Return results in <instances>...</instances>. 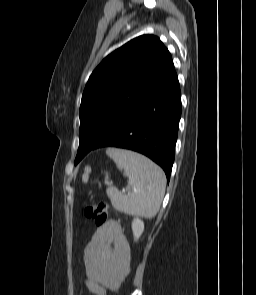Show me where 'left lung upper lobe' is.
Listing matches in <instances>:
<instances>
[{"label":"left lung upper lobe","mask_w":256,"mask_h":295,"mask_svg":"<svg viewBox=\"0 0 256 295\" xmlns=\"http://www.w3.org/2000/svg\"><path fill=\"white\" fill-rule=\"evenodd\" d=\"M168 49L158 37H136L93 71L80 105L77 164L131 110L175 76Z\"/></svg>","instance_id":"5c2ea615"}]
</instances>
